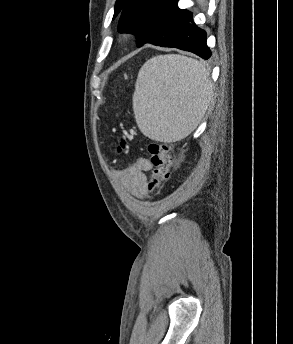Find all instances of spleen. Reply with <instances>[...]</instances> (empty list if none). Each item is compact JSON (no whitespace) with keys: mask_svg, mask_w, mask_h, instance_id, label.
Returning <instances> with one entry per match:
<instances>
[{"mask_svg":"<svg viewBox=\"0 0 293 344\" xmlns=\"http://www.w3.org/2000/svg\"><path fill=\"white\" fill-rule=\"evenodd\" d=\"M211 96L212 82L202 63L175 54L153 57L142 66L136 81L137 125L153 140L177 141L198 126Z\"/></svg>","mask_w":293,"mask_h":344,"instance_id":"1","label":"spleen"}]
</instances>
